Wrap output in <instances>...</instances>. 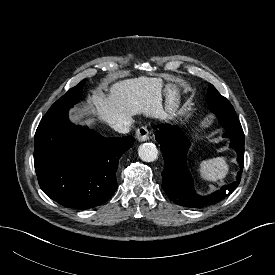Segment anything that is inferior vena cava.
<instances>
[{
	"mask_svg": "<svg viewBox=\"0 0 275 275\" xmlns=\"http://www.w3.org/2000/svg\"><path fill=\"white\" fill-rule=\"evenodd\" d=\"M131 125L132 120L130 118H127L124 121L113 124L111 127L119 133L126 134L129 133Z\"/></svg>",
	"mask_w": 275,
	"mask_h": 275,
	"instance_id": "602c4592",
	"label": "inferior vena cava"
}]
</instances>
